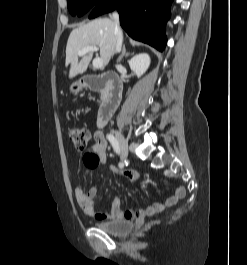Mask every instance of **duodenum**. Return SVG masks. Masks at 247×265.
Here are the masks:
<instances>
[{
  "instance_id": "obj_1",
  "label": "duodenum",
  "mask_w": 247,
  "mask_h": 265,
  "mask_svg": "<svg viewBox=\"0 0 247 265\" xmlns=\"http://www.w3.org/2000/svg\"><path fill=\"white\" fill-rule=\"evenodd\" d=\"M81 83L86 89L104 92V100L97 118L98 126H102L114 114L121 101L122 80L113 72H104L98 75H85Z\"/></svg>"
}]
</instances>
